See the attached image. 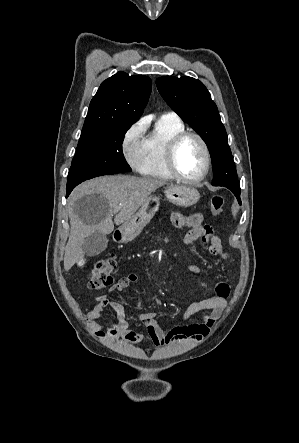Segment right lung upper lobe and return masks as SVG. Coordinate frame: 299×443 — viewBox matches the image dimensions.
Returning <instances> with one entry per match:
<instances>
[{
  "mask_svg": "<svg viewBox=\"0 0 299 443\" xmlns=\"http://www.w3.org/2000/svg\"><path fill=\"white\" fill-rule=\"evenodd\" d=\"M152 83L144 75L117 72L100 85L91 100L82 133L117 124H133L143 113Z\"/></svg>",
  "mask_w": 299,
  "mask_h": 443,
  "instance_id": "right-lung-upper-lobe-1",
  "label": "right lung upper lobe"
}]
</instances>
